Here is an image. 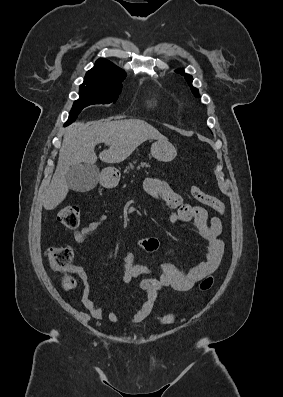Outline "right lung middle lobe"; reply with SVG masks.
<instances>
[{"label":"right lung middle lobe","mask_w":283,"mask_h":397,"mask_svg":"<svg viewBox=\"0 0 283 397\" xmlns=\"http://www.w3.org/2000/svg\"><path fill=\"white\" fill-rule=\"evenodd\" d=\"M122 90V81L86 80L80 85V98L73 104L65 126L74 122L81 110L91 104L115 102Z\"/></svg>","instance_id":"1"}]
</instances>
